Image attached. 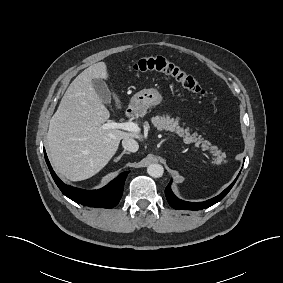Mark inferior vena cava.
<instances>
[{
  "instance_id": "1",
  "label": "inferior vena cava",
  "mask_w": 283,
  "mask_h": 283,
  "mask_svg": "<svg viewBox=\"0 0 283 283\" xmlns=\"http://www.w3.org/2000/svg\"><path fill=\"white\" fill-rule=\"evenodd\" d=\"M122 146L125 150H128L130 152H136L139 148L137 141L129 137L122 140Z\"/></svg>"
}]
</instances>
